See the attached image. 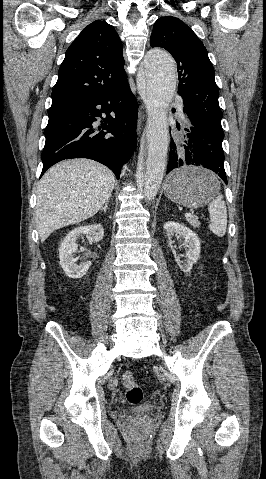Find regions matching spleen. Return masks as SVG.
I'll list each match as a JSON object with an SVG mask.
<instances>
[{
    "label": "spleen",
    "mask_w": 266,
    "mask_h": 479,
    "mask_svg": "<svg viewBox=\"0 0 266 479\" xmlns=\"http://www.w3.org/2000/svg\"><path fill=\"white\" fill-rule=\"evenodd\" d=\"M210 214L209 230L218 237H223L227 227V209L223 196H218L208 205Z\"/></svg>",
    "instance_id": "spleen-1"
}]
</instances>
